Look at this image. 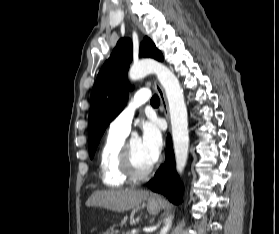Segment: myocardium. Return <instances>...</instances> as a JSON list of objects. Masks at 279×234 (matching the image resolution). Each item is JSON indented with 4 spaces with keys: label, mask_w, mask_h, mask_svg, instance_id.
Instances as JSON below:
<instances>
[{
    "label": "myocardium",
    "mask_w": 279,
    "mask_h": 234,
    "mask_svg": "<svg viewBox=\"0 0 279 234\" xmlns=\"http://www.w3.org/2000/svg\"><path fill=\"white\" fill-rule=\"evenodd\" d=\"M156 160L145 169L137 167L134 161L133 152L130 146V140H125L121 147L120 165L124 175L131 181L142 180L146 178L154 169Z\"/></svg>",
    "instance_id": "f54148a6"
}]
</instances>
